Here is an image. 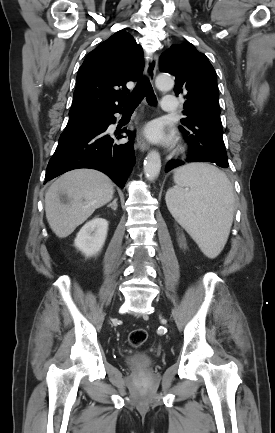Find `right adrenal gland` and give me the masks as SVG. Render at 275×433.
I'll return each mask as SVG.
<instances>
[{
	"label": "right adrenal gland",
	"mask_w": 275,
	"mask_h": 433,
	"mask_svg": "<svg viewBox=\"0 0 275 433\" xmlns=\"http://www.w3.org/2000/svg\"><path fill=\"white\" fill-rule=\"evenodd\" d=\"M117 200H118V199L115 198V199L113 200L112 203H110V204L107 205V207H111L113 210H116L117 207H118V205H117Z\"/></svg>",
	"instance_id": "1"
}]
</instances>
